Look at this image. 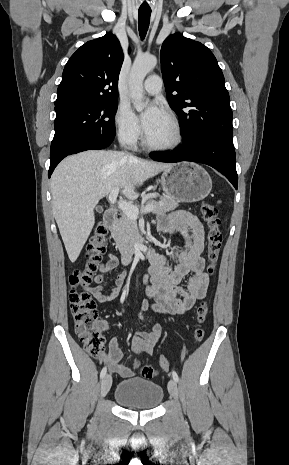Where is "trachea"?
Wrapping results in <instances>:
<instances>
[{"instance_id":"obj_1","label":"trachea","mask_w":289,"mask_h":465,"mask_svg":"<svg viewBox=\"0 0 289 465\" xmlns=\"http://www.w3.org/2000/svg\"><path fill=\"white\" fill-rule=\"evenodd\" d=\"M151 10L139 9L138 15V29L141 39H144L150 23Z\"/></svg>"}]
</instances>
